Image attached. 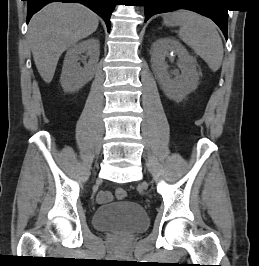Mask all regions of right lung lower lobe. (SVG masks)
<instances>
[{
    "label": "right lung lower lobe",
    "instance_id": "right-lung-lower-lobe-1",
    "mask_svg": "<svg viewBox=\"0 0 259 266\" xmlns=\"http://www.w3.org/2000/svg\"><path fill=\"white\" fill-rule=\"evenodd\" d=\"M28 1L27 23L34 13L50 2L82 3L95 11L106 22L110 30V15L116 5V0H26Z\"/></svg>",
    "mask_w": 259,
    "mask_h": 266
}]
</instances>
